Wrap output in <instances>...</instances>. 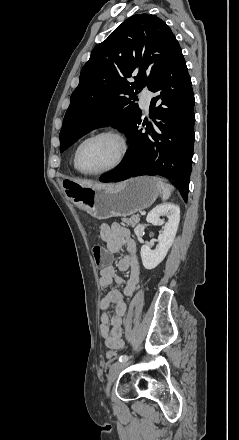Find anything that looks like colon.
Wrapping results in <instances>:
<instances>
[{
	"instance_id": "5ec220e1",
	"label": "colon",
	"mask_w": 239,
	"mask_h": 440,
	"mask_svg": "<svg viewBox=\"0 0 239 440\" xmlns=\"http://www.w3.org/2000/svg\"><path fill=\"white\" fill-rule=\"evenodd\" d=\"M93 255H94V259H95L96 264L100 267H105L110 262V257L108 255V253L101 246H95L93 248ZM105 356L109 361H112L114 359L115 352L112 349H108L105 352Z\"/></svg>"
}]
</instances>
